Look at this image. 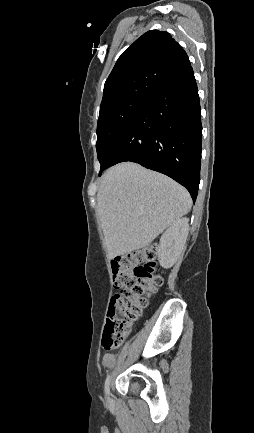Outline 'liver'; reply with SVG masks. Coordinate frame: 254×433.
<instances>
[{"label": "liver", "instance_id": "liver-1", "mask_svg": "<svg viewBox=\"0 0 254 433\" xmlns=\"http://www.w3.org/2000/svg\"><path fill=\"white\" fill-rule=\"evenodd\" d=\"M191 206L188 191L163 174L132 162L112 167L97 194L109 257L147 246Z\"/></svg>", "mask_w": 254, "mask_h": 433}]
</instances>
